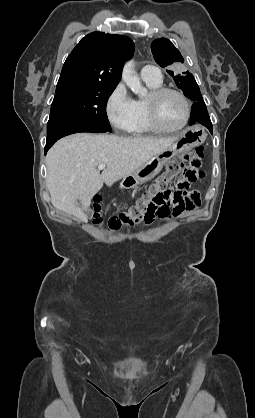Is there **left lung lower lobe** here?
<instances>
[{"label":"left lung lower lobe","instance_id":"0a47b994","mask_svg":"<svg viewBox=\"0 0 255 418\" xmlns=\"http://www.w3.org/2000/svg\"><path fill=\"white\" fill-rule=\"evenodd\" d=\"M194 123L204 125L212 133V123L203 101L195 102L192 106L190 125H193Z\"/></svg>","mask_w":255,"mask_h":418}]
</instances>
